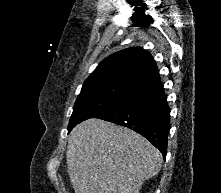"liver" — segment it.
<instances>
[{"mask_svg": "<svg viewBox=\"0 0 221 193\" xmlns=\"http://www.w3.org/2000/svg\"><path fill=\"white\" fill-rule=\"evenodd\" d=\"M66 160L75 193H139L162 157L135 131L92 118L71 131Z\"/></svg>", "mask_w": 221, "mask_h": 193, "instance_id": "6515ba94", "label": "liver"}]
</instances>
